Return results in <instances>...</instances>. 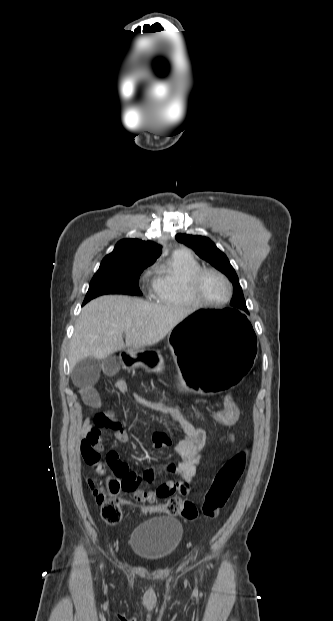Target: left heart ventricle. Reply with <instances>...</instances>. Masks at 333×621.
Listing matches in <instances>:
<instances>
[{"label":"left heart ventricle","mask_w":333,"mask_h":621,"mask_svg":"<svg viewBox=\"0 0 333 621\" xmlns=\"http://www.w3.org/2000/svg\"><path fill=\"white\" fill-rule=\"evenodd\" d=\"M199 293L207 300L221 301L227 296L228 288L220 277L206 274L200 281Z\"/></svg>","instance_id":"left-heart-ventricle-1"}]
</instances>
